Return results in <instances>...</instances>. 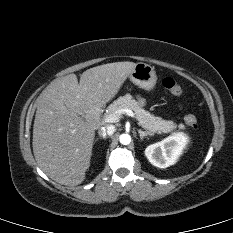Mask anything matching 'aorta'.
Returning a JSON list of instances; mask_svg holds the SVG:
<instances>
[{
    "label": "aorta",
    "mask_w": 233,
    "mask_h": 233,
    "mask_svg": "<svg viewBox=\"0 0 233 233\" xmlns=\"http://www.w3.org/2000/svg\"><path fill=\"white\" fill-rule=\"evenodd\" d=\"M119 140L121 144L128 145L131 142V136L129 134H121Z\"/></svg>",
    "instance_id": "obj_1"
}]
</instances>
